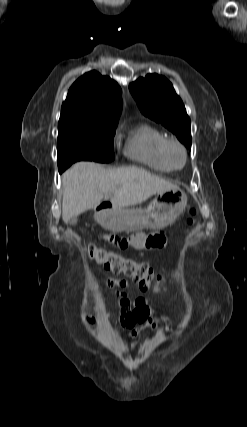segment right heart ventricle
Returning a JSON list of instances; mask_svg holds the SVG:
<instances>
[{
    "mask_svg": "<svg viewBox=\"0 0 247 427\" xmlns=\"http://www.w3.org/2000/svg\"><path fill=\"white\" fill-rule=\"evenodd\" d=\"M167 137L156 127L143 123L129 135L125 154L128 158L158 172L172 170L164 158L163 145Z\"/></svg>",
    "mask_w": 247,
    "mask_h": 427,
    "instance_id": "right-heart-ventricle-1",
    "label": "right heart ventricle"
}]
</instances>
